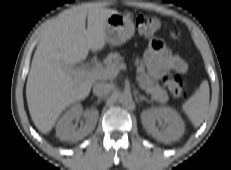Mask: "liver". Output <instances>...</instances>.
<instances>
[{"mask_svg": "<svg viewBox=\"0 0 231 170\" xmlns=\"http://www.w3.org/2000/svg\"><path fill=\"white\" fill-rule=\"evenodd\" d=\"M115 13L118 11L80 5L62 13L46 28L26 84L28 109L40 132L49 133L66 107L89 95L96 78L71 74L68 68L85 60L90 50L104 48L105 24Z\"/></svg>", "mask_w": 231, "mask_h": 170, "instance_id": "1", "label": "liver"}]
</instances>
